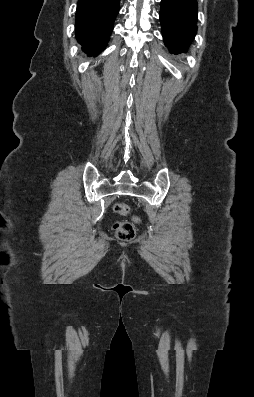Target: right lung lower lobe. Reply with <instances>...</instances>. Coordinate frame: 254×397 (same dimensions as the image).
<instances>
[{
	"label": "right lung lower lobe",
	"instance_id": "right-lung-lower-lobe-1",
	"mask_svg": "<svg viewBox=\"0 0 254 397\" xmlns=\"http://www.w3.org/2000/svg\"><path fill=\"white\" fill-rule=\"evenodd\" d=\"M120 0H78L76 38L83 51L97 56L105 49L119 12Z\"/></svg>",
	"mask_w": 254,
	"mask_h": 397
}]
</instances>
